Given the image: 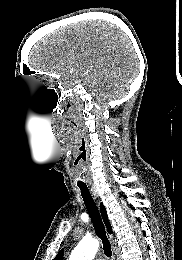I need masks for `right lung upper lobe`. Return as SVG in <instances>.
Returning <instances> with one entry per match:
<instances>
[{
    "mask_svg": "<svg viewBox=\"0 0 182 260\" xmlns=\"http://www.w3.org/2000/svg\"><path fill=\"white\" fill-rule=\"evenodd\" d=\"M100 212H101V216L103 218V221L105 223V226H106L107 230L109 231V233H112L111 224H110V222L108 220V217H107V211H106V208L104 207V205L102 203H100ZM63 254H64V251L62 249L57 254V256L54 258V260H62Z\"/></svg>",
    "mask_w": 182,
    "mask_h": 260,
    "instance_id": "1",
    "label": "right lung upper lobe"
}]
</instances>
